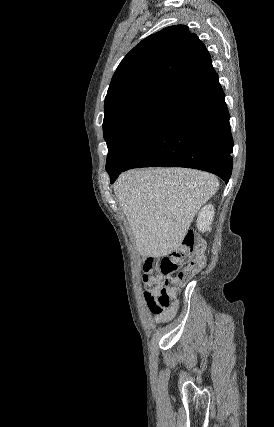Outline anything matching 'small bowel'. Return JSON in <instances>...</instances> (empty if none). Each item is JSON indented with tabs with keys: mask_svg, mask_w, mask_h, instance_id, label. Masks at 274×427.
Segmentation results:
<instances>
[{
	"mask_svg": "<svg viewBox=\"0 0 274 427\" xmlns=\"http://www.w3.org/2000/svg\"><path fill=\"white\" fill-rule=\"evenodd\" d=\"M177 304H174L169 310L162 312L160 314H156L154 316V320L156 322H163L170 319L176 312Z\"/></svg>",
	"mask_w": 274,
	"mask_h": 427,
	"instance_id": "1",
	"label": "small bowel"
}]
</instances>
